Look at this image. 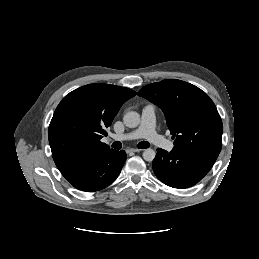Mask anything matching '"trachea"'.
Listing matches in <instances>:
<instances>
[{
	"instance_id": "3493384b",
	"label": "trachea",
	"mask_w": 259,
	"mask_h": 259,
	"mask_svg": "<svg viewBox=\"0 0 259 259\" xmlns=\"http://www.w3.org/2000/svg\"><path fill=\"white\" fill-rule=\"evenodd\" d=\"M149 146H150V144H149L148 142H146V141H142V142H139V143L137 144V147H138L139 149H146V148H148ZM112 147L115 148V149H117V150H119V149H121L122 144H121V142H119V141H115V142L112 144Z\"/></svg>"
}]
</instances>
